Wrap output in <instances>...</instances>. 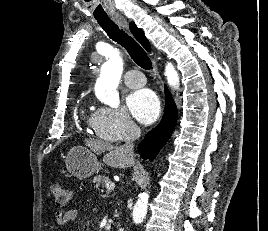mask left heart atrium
Returning <instances> with one entry per match:
<instances>
[{
	"label": "left heart atrium",
	"instance_id": "1",
	"mask_svg": "<svg viewBox=\"0 0 268 231\" xmlns=\"http://www.w3.org/2000/svg\"><path fill=\"white\" fill-rule=\"evenodd\" d=\"M126 104L130 114L146 125L155 122L160 115L159 99L148 89L132 92L127 97Z\"/></svg>",
	"mask_w": 268,
	"mask_h": 231
}]
</instances>
